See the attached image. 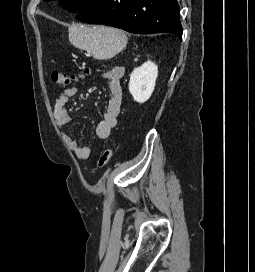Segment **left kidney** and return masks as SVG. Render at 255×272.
I'll return each mask as SVG.
<instances>
[{
	"instance_id": "obj_1",
	"label": "left kidney",
	"mask_w": 255,
	"mask_h": 272,
	"mask_svg": "<svg viewBox=\"0 0 255 272\" xmlns=\"http://www.w3.org/2000/svg\"><path fill=\"white\" fill-rule=\"evenodd\" d=\"M157 77L158 67L152 61H147L133 70L130 75L129 92L134 101L144 103L151 97Z\"/></svg>"
}]
</instances>
